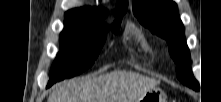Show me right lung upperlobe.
I'll return each mask as SVG.
<instances>
[{
	"mask_svg": "<svg viewBox=\"0 0 221 102\" xmlns=\"http://www.w3.org/2000/svg\"><path fill=\"white\" fill-rule=\"evenodd\" d=\"M128 6V0H120L118 3V8L115 12L116 17L120 16L122 12H126ZM66 19H76V20H101L104 18V10L101 7L91 8L83 7L76 8L66 12Z\"/></svg>",
	"mask_w": 221,
	"mask_h": 102,
	"instance_id": "right-lung-upper-lobe-1",
	"label": "right lung upper lobe"
}]
</instances>
